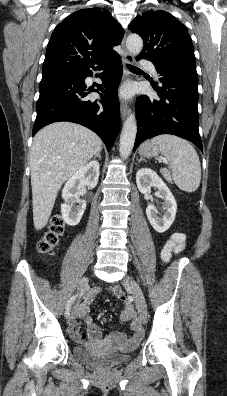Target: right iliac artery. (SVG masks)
Wrapping results in <instances>:
<instances>
[{"instance_id": "82829eb1", "label": "right iliac artery", "mask_w": 227, "mask_h": 396, "mask_svg": "<svg viewBox=\"0 0 227 396\" xmlns=\"http://www.w3.org/2000/svg\"><path fill=\"white\" fill-rule=\"evenodd\" d=\"M76 298H77V294H76V295H73V296L70 298V300L68 301V303H67V305H66V309H65V317H66V318L69 317L71 307H72V305H73V303H74V301H75Z\"/></svg>"}]
</instances>
